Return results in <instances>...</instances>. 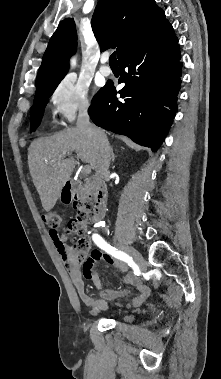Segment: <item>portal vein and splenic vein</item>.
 <instances>
[{
  "instance_id": "18ae733b",
  "label": "portal vein and splenic vein",
  "mask_w": 221,
  "mask_h": 379,
  "mask_svg": "<svg viewBox=\"0 0 221 379\" xmlns=\"http://www.w3.org/2000/svg\"><path fill=\"white\" fill-rule=\"evenodd\" d=\"M90 172H91V166L90 165L84 166L83 173L84 174H89Z\"/></svg>"
}]
</instances>
